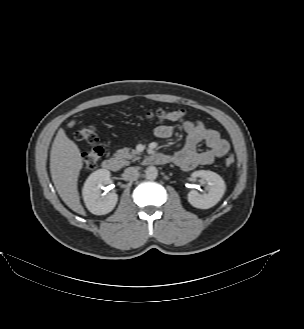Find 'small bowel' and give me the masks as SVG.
Masks as SVG:
<instances>
[{"label":"small bowel","instance_id":"1","mask_svg":"<svg viewBox=\"0 0 304 329\" xmlns=\"http://www.w3.org/2000/svg\"><path fill=\"white\" fill-rule=\"evenodd\" d=\"M181 125L187 135L185 144L170 155L171 161L180 169L190 171L198 166L211 164L230 150L229 142L222 138L217 130L207 127L202 121L184 120ZM172 134L171 125L163 124L155 128V135L160 139H168ZM202 142L207 149L198 151L197 147Z\"/></svg>","mask_w":304,"mask_h":329}]
</instances>
